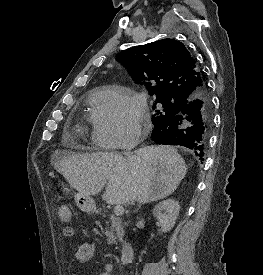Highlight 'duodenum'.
<instances>
[{"label":"duodenum","mask_w":263,"mask_h":275,"mask_svg":"<svg viewBox=\"0 0 263 275\" xmlns=\"http://www.w3.org/2000/svg\"><path fill=\"white\" fill-rule=\"evenodd\" d=\"M134 256V247L131 242L124 241L121 253H120V261L121 262H130Z\"/></svg>","instance_id":"1"}]
</instances>
